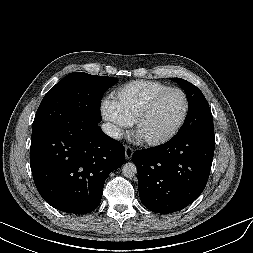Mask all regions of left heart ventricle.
I'll list each match as a JSON object with an SVG mask.
<instances>
[{"label":"left heart ventricle","instance_id":"left-heart-ventricle-1","mask_svg":"<svg viewBox=\"0 0 253 253\" xmlns=\"http://www.w3.org/2000/svg\"><path fill=\"white\" fill-rule=\"evenodd\" d=\"M184 111V99L179 92H169L154 106L141 125L138 135L142 139L157 138L169 133L179 122Z\"/></svg>","mask_w":253,"mask_h":253}]
</instances>
